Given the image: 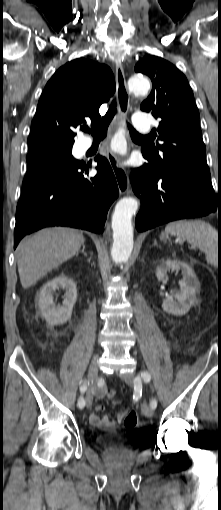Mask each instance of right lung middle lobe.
Here are the masks:
<instances>
[{
    "mask_svg": "<svg viewBox=\"0 0 221 510\" xmlns=\"http://www.w3.org/2000/svg\"><path fill=\"white\" fill-rule=\"evenodd\" d=\"M72 147H42L28 152V171L23 185L45 176H63L72 173L81 163L71 155Z\"/></svg>",
    "mask_w": 221,
    "mask_h": 510,
    "instance_id": "obj_1",
    "label": "right lung middle lobe"
}]
</instances>
